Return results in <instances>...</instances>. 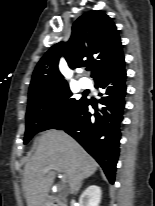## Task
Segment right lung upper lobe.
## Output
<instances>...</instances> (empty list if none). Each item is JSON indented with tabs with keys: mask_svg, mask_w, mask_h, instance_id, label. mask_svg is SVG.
Segmentation results:
<instances>
[{
	"mask_svg": "<svg viewBox=\"0 0 155 206\" xmlns=\"http://www.w3.org/2000/svg\"><path fill=\"white\" fill-rule=\"evenodd\" d=\"M61 56L72 69L91 64L95 81L113 71L124 60L118 30L111 18L101 12H88L73 24L68 42L54 45L41 58L32 76L29 96L67 85L58 70Z\"/></svg>",
	"mask_w": 155,
	"mask_h": 206,
	"instance_id": "1",
	"label": "right lung upper lobe"
}]
</instances>
